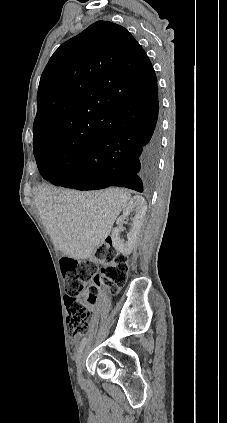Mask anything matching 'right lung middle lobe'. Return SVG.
<instances>
[{
    "mask_svg": "<svg viewBox=\"0 0 227 423\" xmlns=\"http://www.w3.org/2000/svg\"><path fill=\"white\" fill-rule=\"evenodd\" d=\"M38 167L44 164L67 170L75 161L87 156L90 147L73 148L60 139L44 138L33 142Z\"/></svg>",
    "mask_w": 227,
    "mask_h": 423,
    "instance_id": "obj_1",
    "label": "right lung middle lobe"
}]
</instances>
